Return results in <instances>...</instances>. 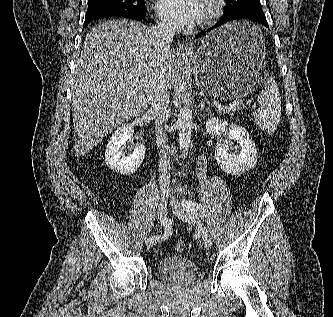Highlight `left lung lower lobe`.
<instances>
[{
    "label": "left lung lower lobe",
    "mask_w": 333,
    "mask_h": 317,
    "mask_svg": "<svg viewBox=\"0 0 333 317\" xmlns=\"http://www.w3.org/2000/svg\"><path fill=\"white\" fill-rule=\"evenodd\" d=\"M243 19L257 21V22L263 24L264 26H266L267 28H269V25L267 23V20H266L265 14L263 13L262 8L254 7V8L243 9V10H239V11H235V12H231V13H225L214 26L209 28L207 31L197 34L195 36V38H198V37L204 35L205 33L209 32L217 27H220L224 24L232 22L234 20H243Z\"/></svg>",
    "instance_id": "left-lung-lower-lobe-1"
}]
</instances>
